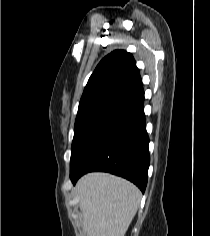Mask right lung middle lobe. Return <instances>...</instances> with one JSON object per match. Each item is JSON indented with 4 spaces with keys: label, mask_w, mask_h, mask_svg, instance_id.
Returning <instances> with one entry per match:
<instances>
[{
    "label": "right lung middle lobe",
    "mask_w": 210,
    "mask_h": 236,
    "mask_svg": "<svg viewBox=\"0 0 210 236\" xmlns=\"http://www.w3.org/2000/svg\"><path fill=\"white\" fill-rule=\"evenodd\" d=\"M131 93L132 91L128 89H117L102 97L79 104L71 147V159L94 127Z\"/></svg>",
    "instance_id": "obj_1"
}]
</instances>
